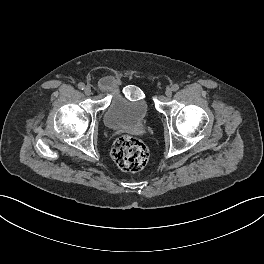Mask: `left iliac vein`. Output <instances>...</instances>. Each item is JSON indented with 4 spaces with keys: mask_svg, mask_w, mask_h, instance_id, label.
I'll return each mask as SVG.
<instances>
[{
    "mask_svg": "<svg viewBox=\"0 0 264 264\" xmlns=\"http://www.w3.org/2000/svg\"><path fill=\"white\" fill-rule=\"evenodd\" d=\"M165 95L167 98H170L172 96V89L171 88H168L166 91H165Z\"/></svg>",
    "mask_w": 264,
    "mask_h": 264,
    "instance_id": "1",
    "label": "left iliac vein"
}]
</instances>
